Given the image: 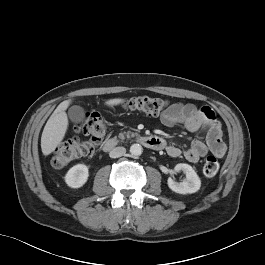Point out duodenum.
I'll list each match as a JSON object with an SVG mask.
<instances>
[{
    "instance_id": "1",
    "label": "duodenum",
    "mask_w": 265,
    "mask_h": 265,
    "mask_svg": "<svg viewBox=\"0 0 265 265\" xmlns=\"http://www.w3.org/2000/svg\"><path fill=\"white\" fill-rule=\"evenodd\" d=\"M138 141L145 147L153 150H160L165 147V141L157 136H142L138 138ZM117 144V139L110 138L103 144V150L110 152L117 146Z\"/></svg>"
}]
</instances>
